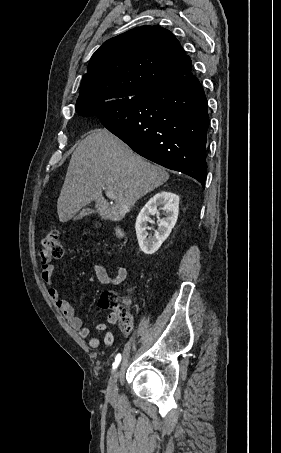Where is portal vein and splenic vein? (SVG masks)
<instances>
[{"label":"portal vein and splenic vein","instance_id":"obj_1","mask_svg":"<svg viewBox=\"0 0 281 453\" xmlns=\"http://www.w3.org/2000/svg\"><path fill=\"white\" fill-rule=\"evenodd\" d=\"M105 194L108 198H116V194H114L113 190H105Z\"/></svg>","mask_w":281,"mask_h":453}]
</instances>
